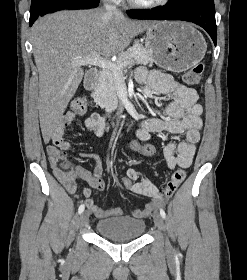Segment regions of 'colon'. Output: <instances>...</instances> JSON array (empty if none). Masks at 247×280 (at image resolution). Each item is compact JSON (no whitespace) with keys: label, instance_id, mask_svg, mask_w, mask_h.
Here are the masks:
<instances>
[{"label":"colon","instance_id":"5ec220e1","mask_svg":"<svg viewBox=\"0 0 247 280\" xmlns=\"http://www.w3.org/2000/svg\"><path fill=\"white\" fill-rule=\"evenodd\" d=\"M203 64H196L190 68L183 76L185 83L189 85L198 84L203 74ZM71 111L76 115H84L87 111V103L84 98L78 97L71 102ZM130 147L135 152L142 154L143 156H155L157 149L153 143H148L146 139H139L137 136L130 138ZM47 153L51 167L59 179H71L74 174V166L67 159L65 153L59 150L56 146L50 145L47 147ZM186 177V171L178 169L173 172L170 180L168 181L164 195L171 197L177 191ZM120 185L124 188H131L133 181L128 176H120L118 179Z\"/></svg>","mask_w":247,"mask_h":280}]
</instances>
